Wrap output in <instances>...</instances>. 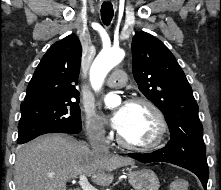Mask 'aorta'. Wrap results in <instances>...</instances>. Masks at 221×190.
<instances>
[{"instance_id":"obj_1","label":"aorta","mask_w":221,"mask_h":190,"mask_svg":"<svg viewBox=\"0 0 221 190\" xmlns=\"http://www.w3.org/2000/svg\"><path fill=\"white\" fill-rule=\"evenodd\" d=\"M125 56L122 49L102 50L95 58L90 69V80L94 90H99L102 87L104 79L109 71L119 64ZM119 98L111 95L105 97L107 107L117 104Z\"/></svg>"}]
</instances>
